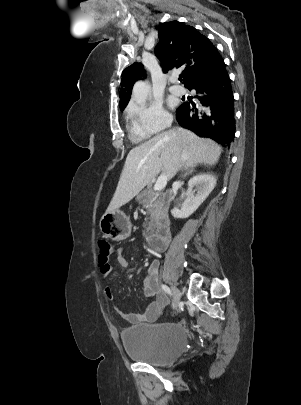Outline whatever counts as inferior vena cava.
<instances>
[{
	"label": "inferior vena cava",
	"instance_id": "1",
	"mask_svg": "<svg viewBox=\"0 0 301 405\" xmlns=\"http://www.w3.org/2000/svg\"><path fill=\"white\" fill-rule=\"evenodd\" d=\"M168 126H171V123H169ZM180 132H181V130L178 129V133H180ZM186 158H187V154L185 151H183L182 155H181V165L185 162Z\"/></svg>",
	"mask_w": 301,
	"mask_h": 405
}]
</instances>
